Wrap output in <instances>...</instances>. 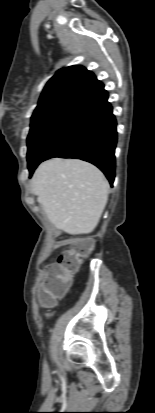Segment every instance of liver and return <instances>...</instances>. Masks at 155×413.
Returning a JSON list of instances; mask_svg holds the SVG:
<instances>
[{
  "label": "liver",
  "mask_w": 155,
  "mask_h": 413,
  "mask_svg": "<svg viewBox=\"0 0 155 413\" xmlns=\"http://www.w3.org/2000/svg\"><path fill=\"white\" fill-rule=\"evenodd\" d=\"M32 191L57 229L72 235L89 234L107 204L109 183L88 162L53 158L34 172Z\"/></svg>",
  "instance_id": "obj_1"
}]
</instances>
